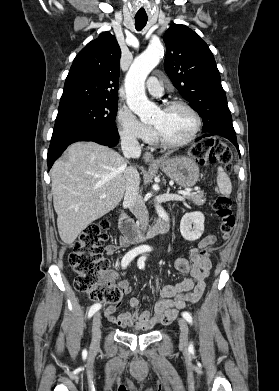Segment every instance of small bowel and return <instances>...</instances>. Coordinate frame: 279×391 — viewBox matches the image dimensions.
<instances>
[{
	"label": "small bowel",
	"instance_id": "small-bowel-1",
	"mask_svg": "<svg viewBox=\"0 0 279 391\" xmlns=\"http://www.w3.org/2000/svg\"><path fill=\"white\" fill-rule=\"evenodd\" d=\"M215 241V235L209 234L199 242L198 249L191 250L189 259L179 257L175 260L176 269L181 273L189 274L190 277L177 284L162 287L159 290L160 299L155 303L153 313L148 310L140 313L139 300L132 297L128 300L130 309L119 315L115 314L116 305L108 306L105 310L108 320L118 326L138 330H149L156 325L170 324L180 309L201 298L212 266L209 256H204L202 251L213 245ZM124 246L126 244L122 238L120 244L108 245L105 248L106 254L112 255ZM111 275L114 276V273ZM118 287L125 294H129L131 291L130 284L126 279H121ZM179 294L184 295V300L173 305V298Z\"/></svg>",
	"mask_w": 279,
	"mask_h": 391
}]
</instances>
